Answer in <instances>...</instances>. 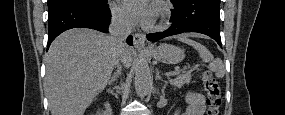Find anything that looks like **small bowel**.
I'll list each match as a JSON object with an SVG mask.
<instances>
[{
  "instance_id": "small-bowel-1",
  "label": "small bowel",
  "mask_w": 285,
  "mask_h": 115,
  "mask_svg": "<svg viewBox=\"0 0 285 115\" xmlns=\"http://www.w3.org/2000/svg\"><path fill=\"white\" fill-rule=\"evenodd\" d=\"M205 112L204 97L195 92H190L185 97V109L183 115H203ZM180 112L178 111L177 114Z\"/></svg>"
}]
</instances>
